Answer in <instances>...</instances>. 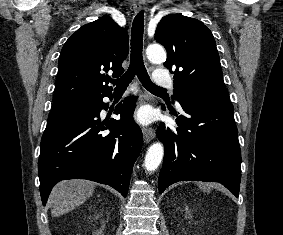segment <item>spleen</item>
<instances>
[{
    "mask_svg": "<svg viewBox=\"0 0 283 235\" xmlns=\"http://www.w3.org/2000/svg\"><path fill=\"white\" fill-rule=\"evenodd\" d=\"M205 186H206V185H204V184H199V187H200L201 189H205Z\"/></svg>",
    "mask_w": 283,
    "mask_h": 235,
    "instance_id": "3e777b00",
    "label": "spleen"
}]
</instances>
